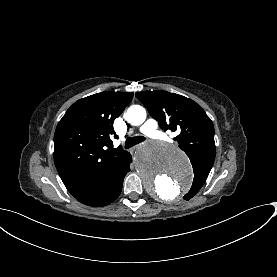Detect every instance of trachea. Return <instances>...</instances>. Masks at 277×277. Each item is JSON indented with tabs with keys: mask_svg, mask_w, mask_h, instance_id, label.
<instances>
[{
	"mask_svg": "<svg viewBox=\"0 0 277 277\" xmlns=\"http://www.w3.org/2000/svg\"><path fill=\"white\" fill-rule=\"evenodd\" d=\"M145 139L146 138L143 136L128 137L125 141V148L129 149V148L133 147L134 145L145 141Z\"/></svg>",
	"mask_w": 277,
	"mask_h": 277,
	"instance_id": "obj_1",
	"label": "trachea"
}]
</instances>
